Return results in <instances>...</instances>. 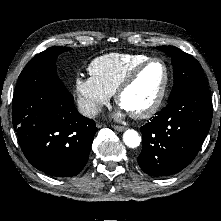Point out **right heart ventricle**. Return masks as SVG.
<instances>
[{
    "mask_svg": "<svg viewBox=\"0 0 221 221\" xmlns=\"http://www.w3.org/2000/svg\"><path fill=\"white\" fill-rule=\"evenodd\" d=\"M150 58L144 54L110 53L95 58L88 66L90 77L108 94L112 95L139 63Z\"/></svg>",
    "mask_w": 221,
    "mask_h": 221,
    "instance_id": "right-heart-ventricle-1",
    "label": "right heart ventricle"
}]
</instances>
